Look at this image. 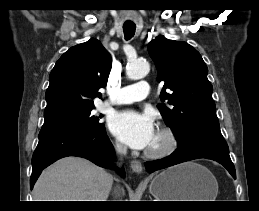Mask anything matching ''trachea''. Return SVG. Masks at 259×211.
I'll list each match as a JSON object with an SVG mask.
<instances>
[{"label": "trachea", "instance_id": "3493384b", "mask_svg": "<svg viewBox=\"0 0 259 211\" xmlns=\"http://www.w3.org/2000/svg\"><path fill=\"white\" fill-rule=\"evenodd\" d=\"M123 30H124L125 39L129 40L135 34L136 25H123Z\"/></svg>", "mask_w": 259, "mask_h": 211}]
</instances>
